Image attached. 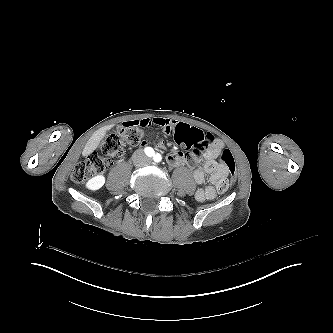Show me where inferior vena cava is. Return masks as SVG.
Here are the masks:
<instances>
[{
    "label": "inferior vena cava",
    "instance_id": "inferior-vena-cava-1",
    "mask_svg": "<svg viewBox=\"0 0 333 333\" xmlns=\"http://www.w3.org/2000/svg\"><path fill=\"white\" fill-rule=\"evenodd\" d=\"M132 160L139 166L148 165L150 163V159L144 154L143 150L141 149L134 152Z\"/></svg>",
    "mask_w": 333,
    "mask_h": 333
}]
</instances>
